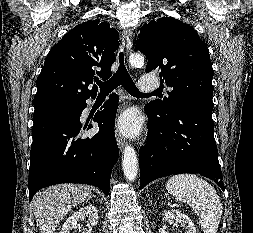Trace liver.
<instances>
[{
    "instance_id": "obj_1",
    "label": "liver",
    "mask_w": 253,
    "mask_h": 233,
    "mask_svg": "<svg viewBox=\"0 0 253 233\" xmlns=\"http://www.w3.org/2000/svg\"><path fill=\"white\" fill-rule=\"evenodd\" d=\"M91 197L89 186L75 184H61L38 192L31 204L40 233H54L73 207Z\"/></svg>"
}]
</instances>
